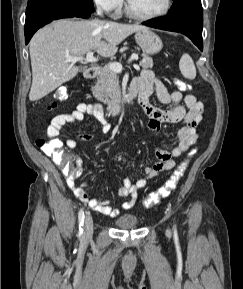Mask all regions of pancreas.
Segmentation results:
<instances>
[{"mask_svg":"<svg viewBox=\"0 0 243 289\" xmlns=\"http://www.w3.org/2000/svg\"><path fill=\"white\" fill-rule=\"evenodd\" d=\"M143 59L140 66L143 69L153 67V60L147 54H142ZM94 97L101 102L108 103L116 100L120 96L119 78L116 72L112 71L109 66L101 69L95 86L92 87Z\"/></svg>","mask_w":243,"mask_h":289,"instance_id":"1","label":"pancreas"}]
</instances>
